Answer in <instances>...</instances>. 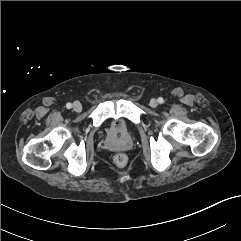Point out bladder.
Wrapping results in <instances>:
<instances>
[{
  "mask_svg": "<svg viewBox=\"0 0 241 241\" xmlns=\"http://www.w3.org/2000/svg\"><path fill=\"white\" fill-rule=\"evenodd\" d=\"M112 128L115 129V130H120L121 129L120 123L113 122L112 123Z\"/></svg>",
  "mask_w": 241,
  "mask_h": 241,
  "instance_id": "bladder-1",
  "label": "bladder"
}]
</instances>
